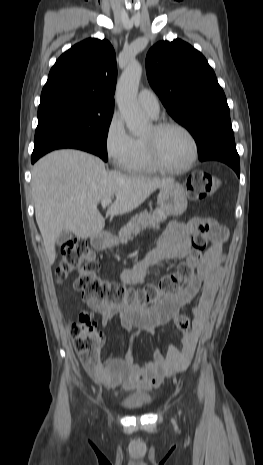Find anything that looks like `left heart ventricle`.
I'll return each instance as SVG.
<instances>
[{
  "mask_svg": "<svg viewBox=\"0 0 263 465\" xmlns=\"http://www.w3.org/2000/svg\"><path fill=\"white\" fill-rule=\"evenodd\" d=\"M150 127L143 137L152 136ZM157 146L161 159L171 166H183L192 156V144L182 131L170 128L157 135Z\"/></svg>",
  "mask_w": 263,
  "mask_h": 465,
  "instance_id": "b2bd125f",
  "label": "left heart ventricle"
}]
</instances>
